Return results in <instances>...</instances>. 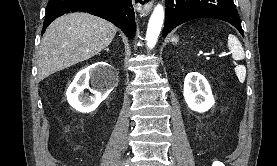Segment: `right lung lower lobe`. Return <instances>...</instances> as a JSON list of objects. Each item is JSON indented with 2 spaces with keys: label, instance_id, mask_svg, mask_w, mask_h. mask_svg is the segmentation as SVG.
I'll return each instance as SVG.
<instances>
[{
  "label": "right lung lower lobe",
  "instance_id": "1",
  "mask_svg": "<svg viewBox=\"0 0 277 166\" xmlns=\"http://www.w3.org/2000/svg\"><path fill=\"white\" fill-rule=\"evenodd\" d=\"M75 11L88 12L104 18L122 29L129 38L135 36L134 9L131 0H49L42 33L57 17Z\"/></svg>",
  "mask_w": 277,
  "mask_h": 166
}]
</instances>
